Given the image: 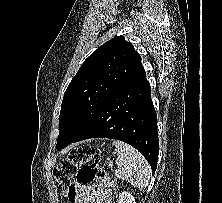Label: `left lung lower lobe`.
Masks as SVG:
<instances>
[{"mask_svg":"<svg viewBox=\"0 0 222 203\" xmlns=\"http://www.w3.org/2000/svg\"><path fill=\"white\" fill-rule=\"evenodd\" d=\"M96 137L128 143L143 154L152 173L155 172L159 153L157 116L151 101V87L141 63L71 143Z\"/></svg>","mask_w":222,"mask_h":203,"instance_id":"left-lung-lower-lobe-1","label":"left lung lower lobe"}]
</instances>
